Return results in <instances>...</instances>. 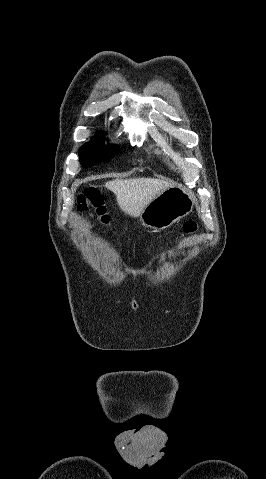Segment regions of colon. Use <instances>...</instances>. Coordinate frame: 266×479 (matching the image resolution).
<instances>
[{
    "mask_svg": "<svg viewBox=\"0 0 266 479\" xmlns=\"http://www.w3.org/2000/svg\"><path fill=\"white\" fill-rule=\"evenodd\" d=\"M77 208L81 213L92 214L95 217L96 225L99 227H107L110 223V217L104 205L103 197L96 189H88L80 194L77 199ZM197 228L198 225L195 221L185 222L181 231L176 235V239L194 233Z\"/></svg>",
    "mask_w": 266,
    "mask_h": 479,
    "instance_id": "colon-1",
    "label": "colon"
}]
</instances>
